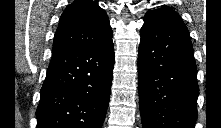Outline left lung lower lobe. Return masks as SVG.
<instances>
[{"instance_id":"obj_1","label":"left lung lower lobe","mask_w":221,"mask_h":128,"mask_svg":"<svg viewBox=\"0 0 221 128\" xmlns=\"http://www.w3.org/2000/svg\"><path fill=\"white\" fill-rule=\"evenodd\" d=\"M138 53L143 128H194L199 88L189 32L144 17Z\"/></svg>"}]
</instances>
